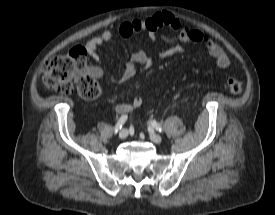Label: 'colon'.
I'll return each mask as SVG.
<instances>
[{
    "label": "colon",
    "mask_w": 275,
    "mask_h": 215,
    "mask_svg": "<svg viewBox=\"0 0 275 215\" xmlns=\"http://www.w3.org/2000/svg\"><path fill=\"white\" fill-rule=\"evenodd\" d=\"M42 77L47 87L61 94H71L76 89L81 97L88 100L101 94L99 83L89 73L86 51L81 47L47 59L42 67ZM224 88L231 94H240L244 85L240 80L229 77Z\"/></svg>",
    "instance_id": "obj_1"
}]
</instances>
